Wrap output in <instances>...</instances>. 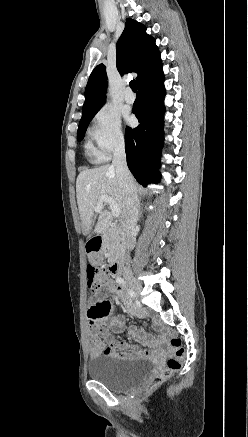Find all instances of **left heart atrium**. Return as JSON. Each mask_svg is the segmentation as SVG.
Listing matches in <instances>:
<instances>
[{
    "label": "left heart atrium",
    "mask_w": 248,
    "mask_h": 437,
    "mask_svg": "<svg viewBox=\"0 0 248 437\" xmlns=\"http://www.w3.org/2000/svg\"><path fill=\"white\" fill-rule=\"evenodd\" d=\"M127 121H128L129 123H131V122H132V119H131L130 117H128V118H127Z\"/></svg>",
    "instance_id": "obj_1"
}]
</instances>
